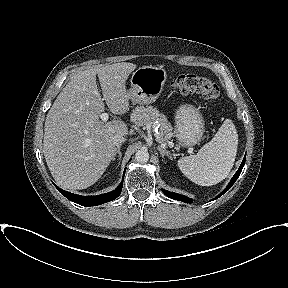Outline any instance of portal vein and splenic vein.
<instances>
[{"mask_svg": "<svg viewBox=\"0 0 288 288\" xmlns=\"http://www.w3.org/2000/svg\"><path fill=\"white\" fill-rule=\"evenodd\" d=\"M100 118H101V120H102L103 122H106V121L108 120V118H109V115H108V113H102V114L100 115Z\"/></svg>", "mask_w": 288, "mask_h": 288, "instance_id": "obj_1", "label": "portal vein and splenic vein"}]
</instances>
